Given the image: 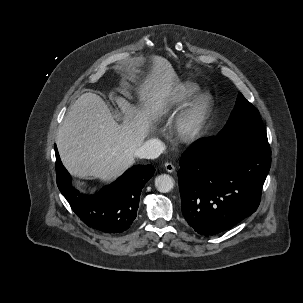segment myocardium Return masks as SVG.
Segmentation results:
<instances>
[{
	"label": "myocardium",
	"instance_id": "1",
	"mask_svg": "<svg viewBox=\"0 0 303 303\" xmlns=\"http://www.w3.org/2000/svg\"><path fill=\"white\" fill-rule=\"evenodd\" d=\"M213 98L207 93L198 94L178 116L175 129L185 142L196 140L202 133L212 111Z\"/></svg>",
	"mask_w": 303,
	"mask_h": 303
}]
</instances>
